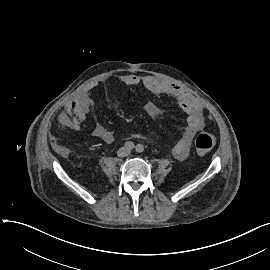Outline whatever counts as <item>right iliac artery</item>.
<instances>
[{
	"mask_svg": "<svg viewBox=\"0 0 270 270\" xmlns=\"http://www.w3.org/2000/svg\"><path fill=\"white\" fill-rule=\"evenodd\" d=\"M125 147H126L127 149H129V150H132V149L135 147V145H134L133 142L128 141V142L125 143Z\"/></svg>",
	"mask_w": 270,
	"mask_h": 270,
	"instance_id": "82829eb1",
	"label": "right iliac artery"
}]
</instances>
